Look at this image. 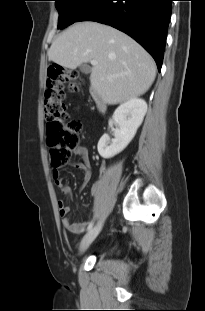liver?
Segmentation results:
<instances>
[{
  "mask_svg": "<svg viewBox=\"0 0 205 311\" xmlns=\"http://www.w3.org/2000/svg\"><path fill=\"white\" fill-rule=\"evenodd\" d=\"M48 57L63 67L98 62L91 69V88L114 105L144 94L156 76L150 54L125 33L98 22L75 23L52 43Z\"/></svg>",
  "mask_w": 205,
  "mask_h": 311,
  "instance_id": "obj_1",
  "label": "liver"
}]
</instances>
